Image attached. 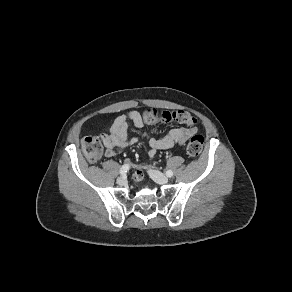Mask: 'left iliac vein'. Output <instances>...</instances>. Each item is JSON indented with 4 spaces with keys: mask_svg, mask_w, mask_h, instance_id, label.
<instances>
[{
    "mask_svg": "<svg viewBox=\"0 0 292 292\" xmlns=\"http://www.w3.org/2000/svg\"><path fill=\"white\" fill-rule=\"evenodd\" d=\"M150 177L159 184H167L168 178L158 170H149Z\"/></svg>",
    "mask_w": 292,
    "mask_h": 292,
    "instance_id": "left-iliac-vein-1",
    "label": "left iliac vein"
}]
</instances>
